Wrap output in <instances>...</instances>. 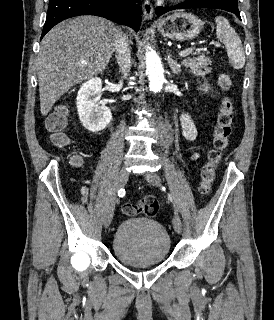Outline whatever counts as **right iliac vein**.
Segmentation results:
<instances>
[{
  "label": "right iliac vein",
  "mask_w": 274,
  "mask_h": 320,
  "mask_svg": "<svg viewBox=\"0 0 274 320\" xmlns=\"http://www.w3.org/2000/svg\"><path fill=\"white\" fill-rule=\"evenodd\" d=\"M129 177V172L126 168H122L118 174L117 178V188H122L127 183ZM116 197H113L110 204L107 207L106 214L104 216V226L107 228L113 219L114 209H115Z\"/></svg>",
  "instance_id": "63e3f726"
}]
</instances>
